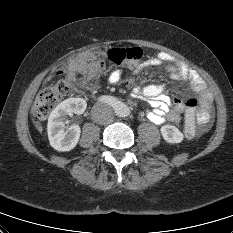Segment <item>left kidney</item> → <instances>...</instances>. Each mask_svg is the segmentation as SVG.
I'll return each instance as SVG.
<instances>
[{"label":"left kidney","instance_id":"obj_1","mask_svg":"<svg viewBox=\"0 0 233 233\" xmlns=\"http://www.w3.org/2000/svg\"><path fill=\"white\" fill-rule=\"evenodd\" d=\"M160 131L164 140L170 144L180 143L184 138L182 132L173 125H164L161 127Z\"/></svg>","mask_w":233,"mask_h":233}]
</instances>
